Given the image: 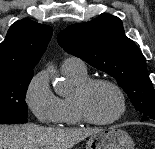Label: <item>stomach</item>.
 Here are the masks:
<instances>
[{"mask_svg":"<svg viewBox=\"0 0 155 149\" xmlns=\"http://www.w3.org/2000/svg\"><path fill=\"white\" fill-rule=\"evenodd\" d=\"M86 149H134V142L126 131L110 127L91 135Z\"/></svg>","mask_w":155,"mask_h":149,"instance_id":"stomach-1","label":"stomach"}]
</instances>
